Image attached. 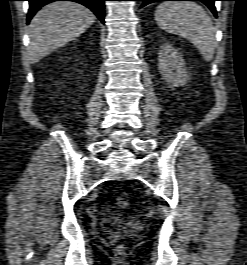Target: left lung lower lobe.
<instances>
[{
    "instance_id": "obj_1",
    "label": "left lung lower lobe",
    "mask_w": 247,
    "mask_h": 265,
    "mask_svg": "<svg viewBox=\"0 0 247 265\" xmlns=\"http://www.w3.org/2000/svg\"><path fill=\"white\" fill-rule=\"evenodd\" d=\"M137 1H142V5L141 7H144L150 3H153V2H157V1H169V0H137ZM188 1H201L203 2L204 4H206L209 9L212 11V13L214 14L215 17H217V13H216V9H215V6H214V2L217 1V0H188Z\"/></svg>"
}]
</instances>
